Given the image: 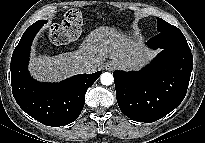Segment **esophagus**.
<instances>
[{"mask_svg": "<svg viewBox=\"0 0 205 143\" xmlns=\"http://www.w3.org/2000/svg\"><path fill=\"white\" fill-rule=\"evenodd\" d=\"M105 69L106 70H113L116 68V64L114 62H107L105 65H104Z\"/></svg>", "mask_w": 205, "mask_h": 143, "instance_id": "obj_1", "label": "esophagus"}]
</instances>
